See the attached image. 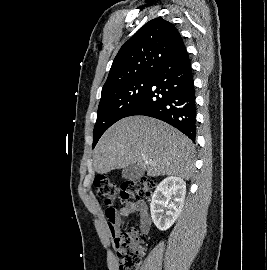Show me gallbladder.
Wrapping results in <instances>:
<instances>
[{"label": "gallbladder", "mask_w": 267, "mask_h": 270, "mask_svg": "<svg viewBox=\"0 0 267 270\" xmlns=\"http://www.w3.org/2000/svg\"><path fill=\"white\" fill-rule=\"evenodd\" d=\"M143 175L144 171L137 164H132L122 169V177L130 181L138 180Z\"/></svg>", "instance_id": "obj_1"}]
</instances>
